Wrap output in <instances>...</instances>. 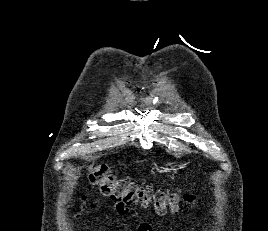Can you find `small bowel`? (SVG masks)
I'll use <instances>...</instances> for the list:
<instances>
[{
	"label": "small bowel",
	"instance_id": "c3829d8e",
	"mask_svg": "<svg viewBox=\"0 0 268 231\" xmlns=\"http://www.w3.org/2000/svg\"><path fill=\"white\" fill-rule=\"evenodd\" d=\"M95 207H96V203H92L91 208L94 209ZM115 208L120 215H123V216L132 215L133 217H138L136 214V211L133 209L123 208L120 205H115ZM138 221H139L138 231H151V225L149 222L142 221L139 218H138Z\"/></svg>",
	"mask_w": 268,
	"mask_h": 231
}]
</instances>
